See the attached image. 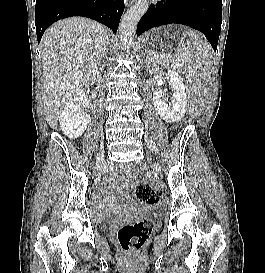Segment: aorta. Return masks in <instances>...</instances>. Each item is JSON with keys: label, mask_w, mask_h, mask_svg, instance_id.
<instances>
[{"label": "aorta", "mask_w": 265, "mask_h": 273, "mask_svg": "<svg viewBox=\"0 0 265 273\" xmlns=\"http://www.w3.org/2000/svg\"><path fill=\"white\" fill-rule=\"evenodd\" d=\"M148 0H138L124 15L120 24V38L124 47L129 50L132 45L136 26L141 17L148 10Z\"/></svg>", "instance_id": "obj_1"}]
</instances>
